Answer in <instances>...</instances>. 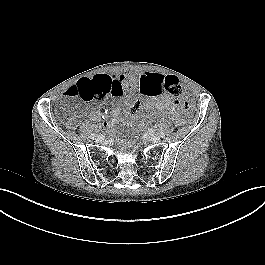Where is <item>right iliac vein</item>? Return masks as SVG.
I'll list each match as a JSON object with an SVG mask.
<instances>
[{"label": "right iliac vein", "mask_w": 265, "mask_h": 265, "mask_svg": "<svg viewBox=\"0 0 265 265\" xmlns=\"http://www.w3.org/2000/svg\"><path fill=\"white\" fill-rule=\"evenodd\" d=\"M104 139H103V137L102 136H97V138H96V141L97 142H102Z\"/></svg>", "instance_id": "63e3f726"}]
</instances>
